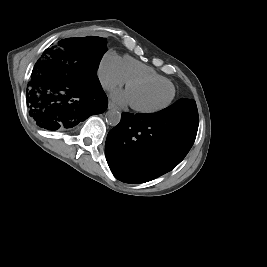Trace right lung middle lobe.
I'll list each match as a JSON object with an SVG mask.
<instances>
[{"label": "right lung middle lobe", "mask_w": 267, "mask_h": 267, "mask_svg": "<svg viewBox=\"0 0 267 267\" xmlns=\"http://www.w3.org/2000/svg\"><path fill=\"white\" fill-rule=\"evenodd\" d=\"M59 47L70 50L77 59L85 63L86 70L96 73L100 60L107 51L106 38L87 36L67 38L59 41Z\"/></svg>", "instance_id": "1"}]
</instances>
